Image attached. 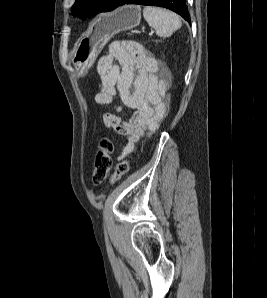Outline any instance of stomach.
<instances>
[{"label":"stomach","instance_id":"obj_1","mask_svg":"<svg viewBox=\"0 0 267 298\" xmlns=\"http://www.w3.org/2000/svg\"><path fill=\"white\" fill-rule=\"evenodd\" d=\"M140 21L141 8L137 5H124L102 15L73 51L72 63L78 75L84 74L93 65L104 45L115 34L137 27Z\"/></svg>","mask_w":267,"mask_h":298}]
</instances>
